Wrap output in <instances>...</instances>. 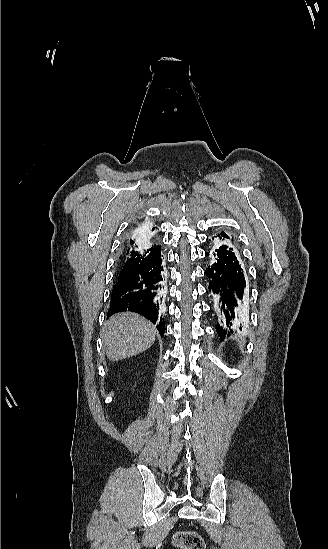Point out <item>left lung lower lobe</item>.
<instances>
[{
  "label": "left lung lower lobe",
  "instance_id": "0a47b994",
  "mask_svg": "<svg viewBox=\"0 0 328 549\" xmlns=\"http://www.w3.org/2000/svg\"><path fill=\"white\" fill-rule=\"evenodd\" d=\"M220 239L222 237L219 236ZM214 239V238H212ZM211 265L205 274L210 279L209 291L215 295V307L222 316V324L216 331L220 340L230 335L234 321L244 315L243 304L247 287L243 269L237 258V250L226 240L216 242L210 252L205 253Z\"/></svg>",
  "mask_w": 328,
  "mask_h": 549
}]
</instances>
